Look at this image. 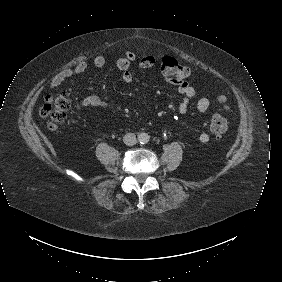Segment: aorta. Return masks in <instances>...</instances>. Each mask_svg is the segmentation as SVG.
Listing matches in <instances>:
<instances>
[{
    "label": "aorta",
    "instance_id": "762f6f07",
    "mask_svg": "<svg viewBox=\"0 0 282 282\" xmlns=\"http://www.w3.org/2000/svg\"><path fill=\"white\" fill-rule=\"evenodd\" d=\"M137 140L140 144H147L150 140V135L146 132H140L137 136Z\"/></svg>",
    "mask_w": 282,
    "mask_h": 282
}]
</instances>
